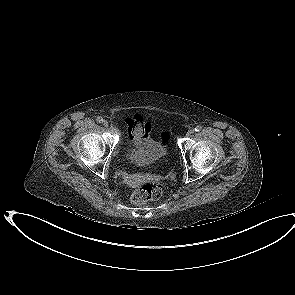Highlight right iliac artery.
<instances>
[{
	"instance_id": "right-iliac-artery-1",
	"label": "right iliac artery",
	"mask_w": 295,
	"mask_h": 295,
	"mask_svg": "<svg viewBox=\"0 0 295 295\" xmlns=\"http://www.w3.org/2000/svg\"><path fill=\"white\" fill-rule=\"evenodd\" d=\"M96 120H97L98 123H102L103 122V118L102 117H97Z\"/></svg>"
}]
</instances>
